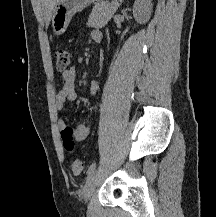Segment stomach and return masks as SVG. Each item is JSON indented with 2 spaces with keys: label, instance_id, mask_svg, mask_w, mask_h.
I'll use <instances>...</instances> for the list:
<instances>
[{
  "label": "stomach",
  "instance_id": "1",
  "mask_svg": "<svg viewBox=\"0 0 216 217\" xmlns=\"http://www.w3.org/2000/svg\"><path fill=\"white\" fill-rule=\"evenodd\" d=\"M102 1L103 0H59L55 5L52 16L54 33L57 36L62 35L66 31L74 14L82 11L91 3H99Z\"/></svg>",
  "mask_w": 216,
  "mask_h": 217
}]
</instances>
